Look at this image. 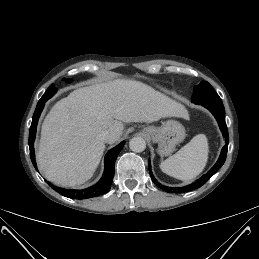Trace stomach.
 I'll use <instances>...</instances> for the list:
<instances>
[{
    "mask_svg": "<svg viewBox=\"0 0 259 259\" xmlns=\"http://www.w3.org/2000/svg\"><path fill=\"white\" fill-rule=\"evenodd\" d=\"M143 132L154 143H158V153L160 156H168L173 153L176 145L181 143L186 136L184 126L176 120L164 121L160 127H145Z\"/></svg>",
    "mask_w": 259,
    "mask_h": 259,
    "instance_id": "0dacf381",
    "label": "stomach"
}]
</instances>
